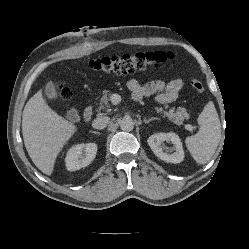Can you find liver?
Wrapping results in <instances>:
<instances>
[{"label": "liver", "instance_id": "obj_1", "mask_svg": "<svg viewBox=\"0 0 249 249\" xmlns=\"http://www.w3.org/2000/svg\"><path fill=\"white\" fill-rule=\"evenodd\" d=\"M76 131V125L46 104L41 91L26 103L22 114L24 144L35 166L44 174H52L59 152Z\"/></svg>", "mask_w": 249, "mask_h": 249}]
</instances>
